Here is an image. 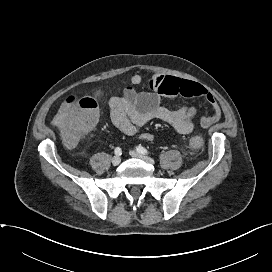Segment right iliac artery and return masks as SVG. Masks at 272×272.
Here are the masks:
<instances>
[{
    "instance_id": "82829eb1",
    "label": "right iliac artery",
    "mask_w": 272,
    "mask_h": 272,
    "mask_svg": "<svg viewBox=\"0 0 272 272\" xmlns=\"http://www.w3.org/2000/svg\"><path fill=\"white\" fill-rule=\"evenodd\" d=\"M114 152H115V154L117 156H120L122 154L121 148H119V147H116L115 150H114Z\"/></svg>"
}]
</instances>
